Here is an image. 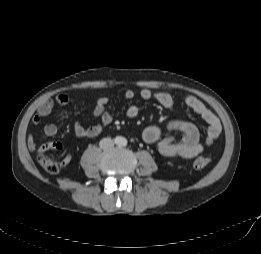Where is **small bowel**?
Returning <instances> with one entry per match:
<instances>
[{"instance_id": "small-bowel-1", "label": "small bowel", "mask_w": 261, "mask_h": 254, "mask_svg": "<svg viewBox=\"0 0 261 254\" xmlns=\"http://www.w3.org/2000/svg\"><path fill=\"white\" fill-rule=\"evenodd\" d=\"M124 99L131 101L135 97L133 90H126L123 94ZM140 97L143 100H150L154 98L159 104L171 114L170 119L166 123V129L175 131L182 134L177 139L174 136H162V128L159 126H148L142 131V138L145 142L155 144L157 151L164 157H180L185 159L194 158L201 154L208 146L213 145L222 133V126L217 116L209 110L205 104L198 98L188 95L184 98V104L191 111L200 116L207 124V131L204 140L200 139V134L197 126L190 121L182 120L175 117L174 100L171 95L165 92L153 93L150 89H142ZM70 102L80 103V100H74L67 94H59L54 98L47 99L42 103L36 114L32 118V124L37 126L47 118L55 105H67ZM109 98L107 96H98L96 104L92 111L91 117L93 119H101V124H96L90 127H85L83 121L79 120L74 123L73 131L79 137H95L99 135L103 128L107 126L111 120V114L108 110ZM140 113L137 105H129L126 109V115L129 118H136ZM44 133L47 136H54L57 133V126L53 123H48L44 126ZM28 148L31 151L35 150V142L32 134L28 135L27 139ZM47 147H54L57 150L62 149L59 143H47ZM70 157L66 156L64 165H67Z\"/></svg>"}]
</instances>
